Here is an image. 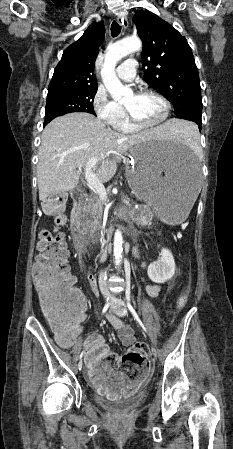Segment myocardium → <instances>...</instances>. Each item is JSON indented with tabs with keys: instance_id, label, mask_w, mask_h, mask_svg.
I'll list each match as a JSON object with an SVG mask.
<instances>
[{
	"instance_id": "obj_1",
	"label": "myocardium",
	"mask_w": 233,
	"mask_h": 449,
	"mask_svg": "<svg viewBox=\"0 0 233 449\" xmlns=\"http://www.w3.org/2000/svg\"><path fill=\"white\" fill-rule=\"evenodd\" d=\"M136 95H150V96L156 97L163 104L164 111H163L162 117L159 120L152 122V123H145V122L139 121L133 115V113L130 111V109L128 107L124 106V110L127 114L129 121L135 127L139 128V129H151V128H155V127L163 124L167 120L169 113H170V103L163 95H161L160 93H158L154 90H149V89L142 90V91L138 92Z\"/></svg>"
}]
</instances>
